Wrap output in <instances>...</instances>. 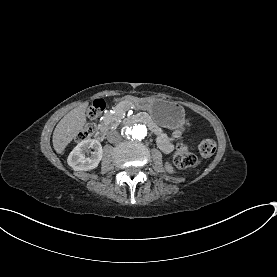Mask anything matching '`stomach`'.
Returning <instances> with one entry per match:
<instances>
[{
    "instance_id": "1",
    "label": "stomach",
    "mask_w": 277,
    "mask_h": 277,
    "mask_svg": "<svg viewBox=\"0 0 277 277\" xmlns=\"http://www.w3.org/2000/svg\"><path fill=\"white\" fill-rule=\"evenodd\" d=\"M132 102L137 108L147 110L155 122L161 126L176 129L184 124L185 111L177 103L153 97L132 98Z\"/></svg>"
}]
</instances>
